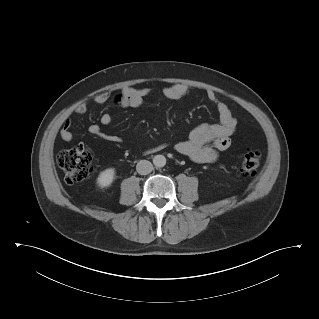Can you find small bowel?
I'll list each match as a JSON object with an SVG mask.
<instances>
[{
    "instance_id": "small-bowel-1",
    "label": "small bowel",
    "mask_w": 319,
    "mask_h": 319,
    "mask_svg": "<svg viewBox=\"0 0 319 319\" xmlns=\"http://www.w3.org/2000/svg\"><path fill=\"white\" fill-rule=\"evenodd\" d=\"M188 92V87L182 83H175L163 89V96L170 101H176L182 98ZM150 94L148 88H132L126 87L122 90L116 102L124 107L140 106L146 97ZM206 96L216 108L219 116L217 123H203L191 130L187 139L178 142L175 145V150L189 159L200 162H214L221 152L227 150L231 145L230 137L236 130L237 120L233 116L229 106L221 101L213 90H208ZM111 95L108 92H102L94 97V102L97 105H104L109 102ZM88 106L85 102L80 103L76 107V113L83 115L87 112ZM112 122V115L105 112L100 117V124H91L88 128L90 134L97 136L110 143H120L121 138L115 134L106 133L102 126H107ZM60 137L64 142L73 140L72 122L67 119L60 131ZM164 145L147 150L148 153H153Z\"/></svg>"
}]
</instances>
